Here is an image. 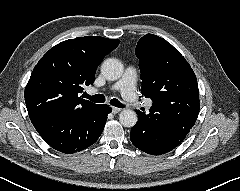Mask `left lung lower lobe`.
I'll list each match as a JSON object with an SVG mask.
<instances>
[{
  "mask_svg": "<svg viewBox=\"0 0 240 191\" xmlns=\"http://www.w3.org/2000/svg\"><path fill=\"white\" fill-rule=\"evenodd\" d=\"M138 122L132 127L130 140L138 149L160 155L177 147L194 126L195 115L181 117L177 120L156 119L150 112L145 114L138 110Z\"/></svg>",
  "mask_w": 240,
  "mask_h": 191,
  "instance_id": "obj_1",
  "label": "left lung lower lobe"
}]
</instances>
